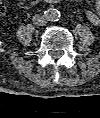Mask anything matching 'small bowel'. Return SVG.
I'll return each mask as SVG.
<instances>
[{
	"label": "small bowel",
	"instance_id": "obj_1",
	"mask_svg": "<svg viewBox=\"0 0 100 118\" xmlns=\"http://www.w3.org/2000/svg\"><path fill=\"white\" fill-rule=\"evenodd\" d=\"M47 1L54 3L56 0H47ZM96 8L99 13H96L92 10H88L86 12V15L91 23H93L94 25H99L100 24V0H97Z\"/></svg>",
	"mask_w": 100,
	"mask_h": 118
}]
</instances>
